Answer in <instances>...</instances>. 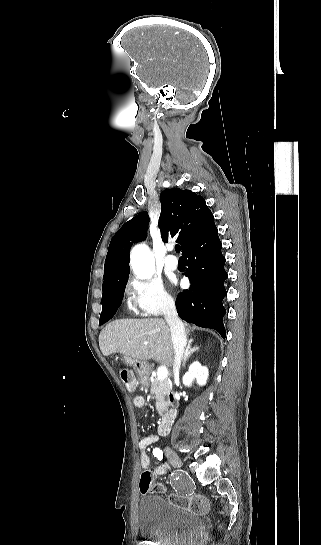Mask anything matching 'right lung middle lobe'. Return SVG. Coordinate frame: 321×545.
Here are the masks:
<instances>
[{"instance_id":"obj_1","label":"right lung middle lobe","mask_w":321,"mask_h":545,"mask_svg":"<svg viewBox=\"0 0 321 545\" xmlns=\"http://www.w3.org/2000/svg\"><path fill=\"white\" fill-rule=\"evenodd\" d=\"M127 280H128V277H126L119 285L111 288V289H108V290H103V295H102V312H101V315H100V320H99V324L102 325L104 324L105 322H107V320L105 319V304H106V301L109 299V297L111 296H120V295H123V292H124V289H125V286H126V283H127Z\"/></svg>"}]
</instances>
